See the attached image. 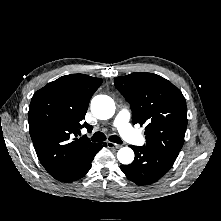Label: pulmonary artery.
Wrapping results in <instances>:
<instances>
[{
	"instance_id": "obj_1",
	"label": "pulmonary artery",
	"mask_w": 221,
	"mask_h": 221,
	"mask_svg": "<svg viewBox=\"0 0 221 221\" xmlns=\"http://www.w3.org/2000/svg\"><path fill=\"white\" fill-rule=\"evenodd\" d=\"M130 117L131 114L129 109L122 108L115 116L113 126L117 129L119 134L128 142L134 145H142L144 143V138L139 135L130 125Z\"/></svg>"
}]
</instances>
